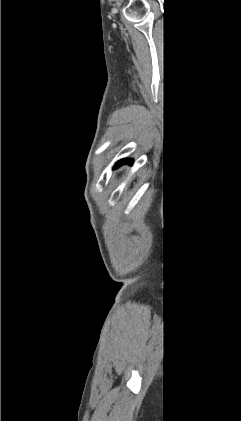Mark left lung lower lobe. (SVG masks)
Returning a JSON list of instances; mask_svg holds the SVG:
<instances>
[{
  "label": "left lung lower lobe",
  "instance_id": "0a47b994",
  "mask_svg": "<svg viewBox=\"0 0 241 421\" xmlns=\"http://www.w3.org/2000/svg\"><path fill=\"white\" fill-rule=\"evenodd\" d=\"M124 163H129V164H132V163H133V160H132V159H122V160L118 161V162L115 164V168H117L118 166H120V165H122V164H124Z\"/></svg>",
  "mask_w": 241,
  "mask_h": 421
}]
</instances>
